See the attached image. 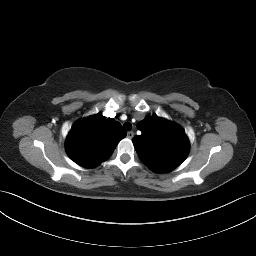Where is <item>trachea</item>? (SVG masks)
I'll use <instances>...</instances> for the list:
<instances>
[{
  "instance_id": "3493384b",
  "label": "trachea",
  "mask_w": 256,
  "mask_h": 256,
  "mask_svg": "<svg viewBox=\"0 0 256 256\" xmlns=\"http://www.w3.org/2000/svg\"><path fill=\"white\" fill-rule=\"evenodd\" d=\"M124 129L130 131L132 129V124L130 122L124 123Z\"/></svg>"
}]
</instances>
